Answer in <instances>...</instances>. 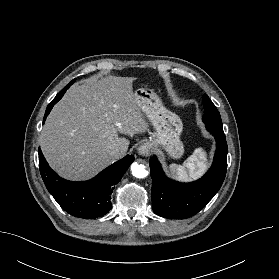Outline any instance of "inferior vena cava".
<instances>
[{"label": "inferior vena cava", "instance_id": "602c4592", "mask_svg": "<svg viewBox=\"0 0 279 279\" xmlns=\"http://www.w3.org/2000/svg\"><path fill=\"white\" fill-rule=\"evenodd\" d=\"M109 154L113 157H118L123 154V151L120 148L116 147V148L112 149Z\"/></svg>", "mask_w": 279, "mask_h": 279}]
</instances>
